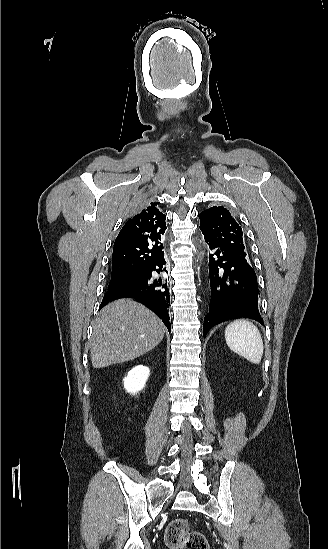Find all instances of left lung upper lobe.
<instances>
[{"label":"left lung upper lobe","mask_w":328,"mask_h":549,"mask_svg":"<svg viewBox=\"0 0 328 549\" xmlns=\"http://www.w3.org/2000/svg\"><path fill=\"white\" fill-rule=\"evenodd\" d=\"M204 239L247 261L242 228L223 206H213L199 214Z\"/></svg>","instance_id":"left-lung-upper-lobe-1"}]
</instances>
